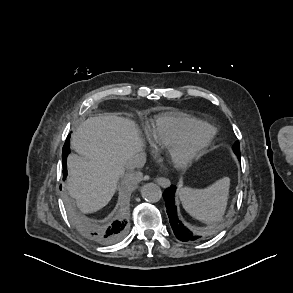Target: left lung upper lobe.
<instances>
[{"mask_svg": "<svg viewBox=\"0 0 293 293\" xmlns=\"http://www.w3.org/2000/svg\"><path fill=\"white\" fill-rule=\"evenodd\" d=\"M233 151L235 152V154L238 156L240 155V144L239 141H237L234 145H233Z\"/></svg>", "mask_w": 293, "mask_h": 293, "instance_id": "left-lung-upper-lobe-1", "label": "left lung upper lobe"}]
</instances>
